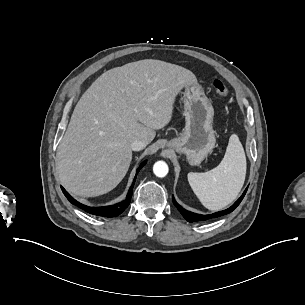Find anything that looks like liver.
<instances>
[{
  "label": "liver",
  "instance_id": "liver-1",
  "mask_svg": "<svg viewBox=\"0 0 305 305\" xmlns=\"http://www.w3.org/2000/svg\"><path fill=\"white\" fill-rule=\"evenodd\" d=\"M193 84L190 70L153 59L104 72L78 101L59 144L64 188L84 197L113 190L129 169L131 142L151 143L170 122L176 95Z\"/></svg>",
  "mask_w": 305,
  "mask_h": 305
}]
</instances>
